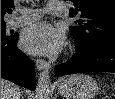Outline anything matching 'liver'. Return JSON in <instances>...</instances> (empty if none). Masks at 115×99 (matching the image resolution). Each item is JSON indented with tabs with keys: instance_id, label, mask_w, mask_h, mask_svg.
I'll list each match as a JSON object with an SVG mask.
<instances>
[{
	"instance_id": "obj_1",
	"label": "liver",
	"mask_w": 115,
	"mask_h": 99,
	"mask_svg": "<svg viewBox=\"0 0 115 99\" xmlns=\"http://www.w3.org/2000/svg\"><path fill=\"white\" fill-rule=\"evenodd\" d=\"M1 99H20L19 88L4 79H1Z\"/></svg>"
}]
</instances>
